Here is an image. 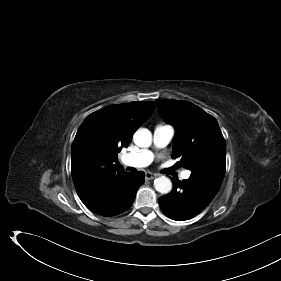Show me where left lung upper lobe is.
Masks as SVG:
<instances>
[{"label": "left lung upper lobe", "mask_w": 281, "mask_h": 281, "mask_svg": "<svg viewBox=\"0 0 281 281\" xmlns=\"http://www.w3.org/2000/svg\"><path fill=\"white\" fill-rule=\"evenodd\" d=\"M159 112L175 128L173 158L206 178L220 182L225 175L226 143L216 119L187 101L156 100Z\"/></svg>", "instance_id": "obj_1"}]
</instances>
